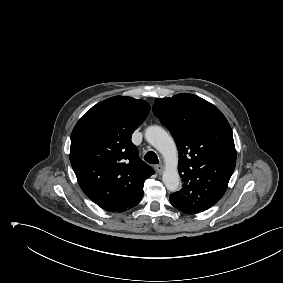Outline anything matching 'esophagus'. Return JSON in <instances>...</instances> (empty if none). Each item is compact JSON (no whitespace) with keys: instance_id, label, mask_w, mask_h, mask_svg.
Returning <instances> with one entry per match:
<instances>
[{"instance_id":"esophagus-1","label":"esophagus","mask_w":283,"mask_h":283,"mask_svg":"<svg viewBox=\"0 0 283 283\" xmlns=\"http://www.w3.org/2000/svg\"><path fill=\"white\" fill-rule=\"evenodd\" d=\"M155 169L159 174H162L164 168L161 164H159L155 166Z\"/></svg>"}]
</instances>
